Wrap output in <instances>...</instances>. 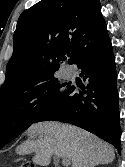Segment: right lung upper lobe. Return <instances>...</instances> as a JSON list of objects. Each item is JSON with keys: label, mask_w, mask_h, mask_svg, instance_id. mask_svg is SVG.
Masks as SVG:
<instances>
[{"label": "right lung upper lobe", "mask_w": 125, "mask_h": 167, "mask_svg": "<svg viewBox=\"0 0 125 167\" xmlns=\"http://www.w3.org/2000/svg\"><path fill=\"white\" fill-rule=\"evenodd\" d=\"M105 29L99 0H41L25 10L14 32L0 100L54 77L65 55L76 64L81 51Z\"/></svg>", "instance_id": "1"}]
</instances>
